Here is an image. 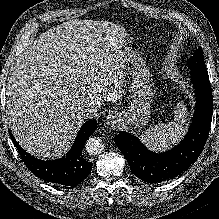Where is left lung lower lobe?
I'll return each mask as SVG.
<instances>
[{
    "mask_svg": "<svg viewBox=\"0 0 219 219\" xmlns=\"http://www.w3.org/2000/svg\"><path fill=\"white\" fill-rule=\"evenodd\" d=\"M196 93L192 124L183 141L168 152L149 151L135 136L121 131L114 141L127 159L132 173L147 183H159L178 176L201 154L211 126L213 97L208 73L191 72Z\"/></svg>",
    "mask_w": 219,
    "mask_h": 219,
    "instance_id": "1",
    "label": "left lung lower lobe"
}]
</instances>
